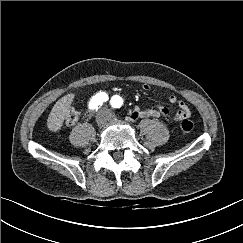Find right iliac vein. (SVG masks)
I'll list each match as a JSON object with an SVG mask.
<instances>
[{"label":"right iliac vein","mask_w":243,"mask_h":243,"mask_svg":"<svg viewBox=\"0 0 243 243\" xmlns=\"http://www.w3.org/2000/svg\"><path fill=\"white\" fill-rule=\"evenodd\" d=\"M107 122V116L105 113L101 112L97 118H96V123L99 128H103L106 125Z\"/></svg>","instance_id":"1"}]
</instances>
